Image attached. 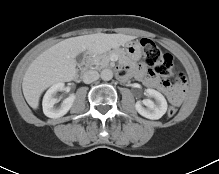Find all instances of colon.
Returning <instances> with one entry per match:
<instances>
[{
    "label": "colon",
    "mask_w": 219,
    "mask_h": 174,
    "mask_svg": "<svg viewBox=\"0 0 219 174\" xmlns=\"http://www.w3.org/2000/svg\"><path fill=\"white\" fill-rule=\"evenodd\" d=\"M145 64L152 68L155 74L164 78H175L179 83H184L185 78L173 62L170 54L162 52L158 46L149 39H142ZM177 113L175 107H169L167 115L174 117Z\"/></svg>",
    "instance_id": "1"
}]
</instances>
